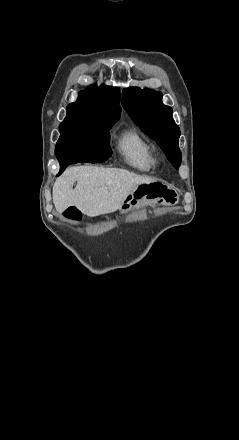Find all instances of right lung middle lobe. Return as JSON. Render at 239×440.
<instances>
[{
  "label": "right lung middle lobe",
  "instance_id": "dd1d6c3e",
  "mask_svg": "<svg viewBox=\"0 0 239 440\" xmlns=\"http://www.w3.org/2000/svg\"><path fill=\"white\" fill-rule=\"evenodd\" d=\"M115 121L101 118H83L67 114L60 124L61 135L57 141L55 152L67 148L81 146L109 147V129ZM110 148V147H109Z\"/></svg>",
  "mask_w": 239,
  "mask_h": 440
}]
</instances>
